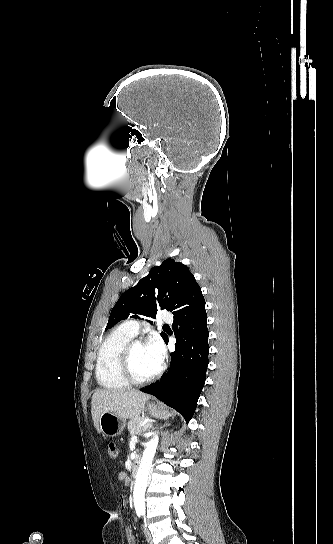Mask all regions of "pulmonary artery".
Wrapping results in <instances>:
<instances>
[{"instance_id":"1","label":"pulmonary artery","mask_w":333,"mask_h":544,"mask_svg":"<svg viewBox=\"0 0 333 544\" xmlns=\"http://www.w3.org/2000/svg\"><path fill=\"white\" fill-rule=\"evenodd\" d=\"M162 320L170 323L172 322L173 318L171 314L164 313L162 315ZM121 326L134 336H136L140 330V323L138 320L135 319L125 321Z\"/></svg>"}]
</instances>
